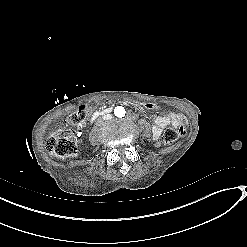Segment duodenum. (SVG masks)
Returning <instances> with one entry per match:
<instances>
[{"label": "duodenum", "mask_w": 247, "mask_h": 247, "mask_svg": "<svg viewBox=\"0 0 247 247\" xmlns=\"http://www.w3.org/2000/svg\"><path fill=\"white\" fill-rule=\"evenodd\" d=\"M112 111L111 108H106V109H101V110H98V111H95L92 116H91V119L90 121L93 122L94 120H96L97 118H99L100 116H103L105 114H108Z\"/></svg>", "instance_id": "duodenum-1"}]
</instances>
